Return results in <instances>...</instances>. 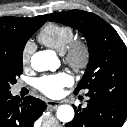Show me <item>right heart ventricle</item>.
Masks as SVG:
<instances>
[{
    "mask_svg": "<svg viewBox=\"0 0 127 127\" xmlns=\"http://www.w3.org/2000/svg\"><path fill=\"white\" fill-rule=\"evenodd\" d=\"M74 38V29L57 23L46 24L38 34V40L45 46L63 54L67 45Z\"/></svg>",
    "mask_w": 127,
    "mask_h": 127,
    "instance_id": "1",
    "label": "right heart ventricle"
}]
</instances>
